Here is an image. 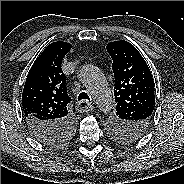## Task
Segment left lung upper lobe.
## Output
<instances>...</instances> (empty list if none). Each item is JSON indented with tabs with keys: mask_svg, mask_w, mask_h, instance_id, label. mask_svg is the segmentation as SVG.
<instances>
[{
	"mask_svg": "<svg viewBox=\"0 0 184 184\" xmlns=\"http://www.w3.org/2000/svg\"><path fill=\"white\" fill-rule=\"evenodd\" d=\"M107 51L113 60L117 104L109 133L117 141L132 142L143 134L153 116V77L144 58L129 42H110Z\"/></svg>",
	"mask_w": 184,
	"mask_h": 184,
	"instance_id": "left-lung-upper-lobe-1",
	"label": "left lung upper lobe"
}]
</instances>
